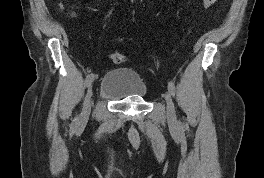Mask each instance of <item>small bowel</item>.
I'll return each instance as SVG.
<instances>
[{
	"mask_svg": "<svg viewBox=\"0 0 264 178\" xmlns=\"http://www.w3.org/2000/svg\"><path fill=\"white\" fill-rule=\"evenodd\" d=\"M215 2H216V0H207V1L204 3V6H205V7H210V6L213 5Z\"/></svg>",
	"mask_w": 264,
	"mask_h": 178,
	"instance_id": "1",
	"label": "small bowel"
}]
</instances>
